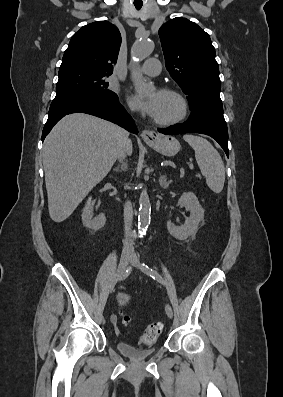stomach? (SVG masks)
I'll return each instance as SVG.
<instances>
[{"label":"stomach","instance_id":"1","mask_svg":"<svg viewBox=\"0 0 283 397\" xmlns=\"http://www.w3.org/2000/svg\"><path fill=\"white\" fill-rule=\"evenodd\" d=\"M146 143L164 156H174L180 150L179 141L172 136H157L155 140H147Z\"/></svg>","mask_w":283,"mask_h":397}]
</instances>
